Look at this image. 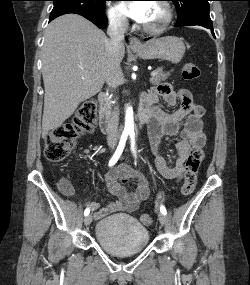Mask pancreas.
<instances>
[{"label":"pancreas","mask_w":250,"mask_h":285,"mask_svg":"<svg viewBox=\"0 0 250 285\" xmlns=\"http://www.w3.org/2000/svg\"><path fill=\"white\" fill-rule=\"evenodd\" d=\"M157 71H158V74L150 78V83L152 85L160 84L161 82L165 81L170 76L169 72H163L161 68L157 69Z\"/></svg>","instance_id":"1"}]
</instances>
